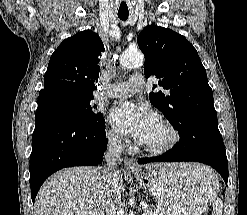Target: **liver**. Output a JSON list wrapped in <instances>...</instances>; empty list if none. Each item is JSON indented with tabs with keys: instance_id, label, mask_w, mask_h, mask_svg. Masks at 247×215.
Returning a JSON list of instances; mask_svg holds the SVG:
<instances>
[{
	"instance_id": "obj_1",
	"label": "liver",
	"mask_w": 247,
	"mask_h": 215,
	"mask_svg": "<svg viewBox=\"0 0 247 215\" xmlns=\"http://www.w3.org/2000/svg\"><path fill=\"white\" fill-rule=\"evenodd\" d=\"M160 165L149 164L146 168L151 170ZM185 166L189 172L198 169L195 164ZM202 176L206 178L204 173ZM118 178L115 185L104 181L102 167L80 166L60 170L39 190L35 201L36 215H111L112 211L116 212L125 191L123 179H126V174L119 172Z\"/></svg>"
}]
</instances>
